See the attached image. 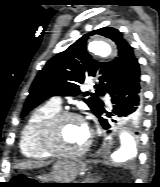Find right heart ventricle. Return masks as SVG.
Masks as SVG:
<instances>
[{"label": "right heart ventricle", "mask_w": 160, "mask_h": 187, "mask_svg": "<svg viewBox=\"0 0 160 187\" xmlns=\"http://www.w3.org/2000/svg\"><path fill=\"white\" fill-rule=\"evenodd\" d=\"M60 111V107L47 102L29 116L20 138L21 153L30 159H46L50 155L42 146L41 133L46 121Z\"/></svg>", "instance_id": "1"}]
</instances>
